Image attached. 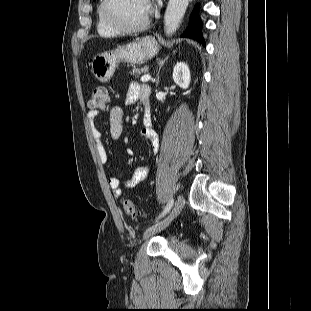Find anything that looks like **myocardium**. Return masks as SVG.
<instances>
[{"mask_svg":"<svg viewBox=\"0 0 311 311\" xmlns=\"http://www.w3.org/2000/svg\"><path fill=\"white\" fill-rule=\"evenodd\" d=\"M114 0H103L101 13L105 23L115 30L117 33L121 34H133L144 31L148 28L151 22V13H149L148 17L144 22L136 26H124L120 22H118L111 13V7Z\"/></svg>","mask_w":311,"mask_h":311,"instance_id":"f54148a6","label":"myocardium"}]
</instances>
